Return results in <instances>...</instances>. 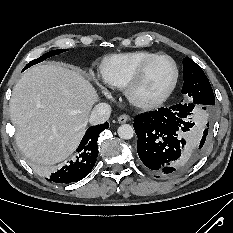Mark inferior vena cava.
Returning a JSON list of instances; mask_svg holds the SVG:
<instances>
[{
	"label": "inferior vena cava",
	"mask_w": 233,
	"mask_h": 233,
	"mask_svg": "<svg viewBox=\"0 0 233 233\" xmlns=\"http://www.w3.org/2000/svg\"><path fill=\"white\" fill-rule=\"evenodd\" d=\"M111 106L107 103H98L88 116V121L92 125L102 124L109 119Z\"/></svg>",
	"instance_id": "inferior-vena-cava-1"
}]
</instances>
